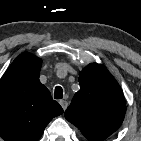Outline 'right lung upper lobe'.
I'll list each match as a JSON object with an SVG mask.
<instances>
[{
    "instance_id": "obj_1",
    "label": "right lung upper lobe",
    "mask_w": 141,
    "mask_h": 141,
    "mask_svg": "<svg viewBox=\"0 0 141 141\" xmlns=\"http://www.w3.org/2000/svg\"><path fill=\"white\" fill-rule=\"evenodd\" d=\"M42 61L19 55L0 79V137L5 141H38L52 118L63 113L40 83Z\"/></svg>"
}]
</instances>
